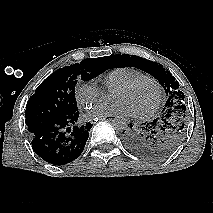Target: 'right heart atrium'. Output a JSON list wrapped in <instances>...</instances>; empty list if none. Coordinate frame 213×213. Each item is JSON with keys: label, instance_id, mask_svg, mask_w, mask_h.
<instances>
[{"label": "right heart atrium", "instance_id": "obj_1", "mask_svg": "<svg viewBox=\"0 0 213 213\" xmlns=\"http://www.w3.org/2000/svg\"><path fill=\"white\" fill-rule=\"evenodd\" d=\"M104 98V90L94 80L80 81L75 87V99L81 107L89 108Z\"/></svg>", "mask_w": 213, "mask_h": 213}]
</instances>
